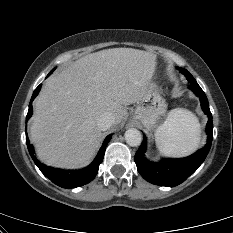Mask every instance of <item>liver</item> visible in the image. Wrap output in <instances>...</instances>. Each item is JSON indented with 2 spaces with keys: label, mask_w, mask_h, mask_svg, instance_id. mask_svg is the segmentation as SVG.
<instances>
[{
  "label": "liver",
  "mask_w": 233,
  "mask_h": 233,
  "mask_svg": "<svg viewBox=\"0 0 233 233\" xmlns=\"http://www.w3.org/2000/svg\"><path fill=\"white\" fill-rule=\"evenodd\" d=\"M156 55L133 48L88 54L48 78L34 104L30 141L49 166L82 168L102 139L97 121L106 112L119 124L125 106L147 92Z\"/></svg>",
  "instance_id": "obj_1"
}]
</instances>
